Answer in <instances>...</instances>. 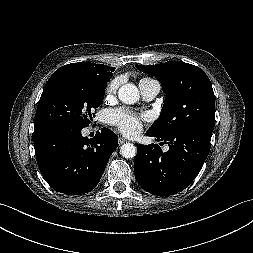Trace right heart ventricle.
I'll list each match as a JSON object with an SVG mask.
<instances>
[{"mask_svg":"<svg viewBox=\"0 0 253 253\" xmlns=\"http://www.w3.org/2000/svg\"><path fill=\"white\" fill-rule=\"evenodd\" d=\"M145 81H153V79H150V78H143V79H141L140 83H141V82H145Z\"/></svg>","mask_w":253,"mask_h":253,"instance_id":"e07e8e85","label":"right heart ventricle"}]
</instances>
